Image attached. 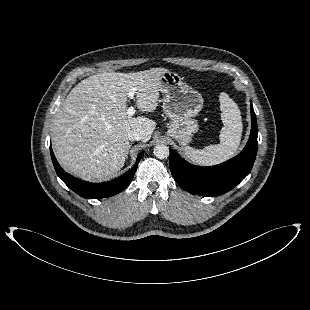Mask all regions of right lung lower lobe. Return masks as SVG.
Returning a JSON list of instances; mask_svg holds the SVG:
<instances>
[{
  "instance_id": "98d812e1",
  "label": "right lung lower lobe",
  "mask_w": 310,
  "mask_h": 310,
  "mask_svg": "<svg viewBox=\"0 0 310 310\" xmlns=\"http://www.w3.org/2000/svg\"><path fill=\"white\" fill-rule=\"evenodd\" d=\"M143 153L144 152H141L138 155L135 165L121 177L105 183H90L77 179L72 175L66 173L57 162L52 148L50 147V154L57 175L70 189H72L78 195L87 199H100L110 197L126 188L135 175L138 163L142 158Z\"/></svg>"
}]
</instances>
